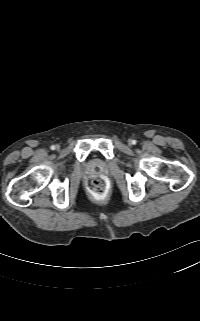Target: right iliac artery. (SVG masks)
Listing matches in <instances>:
<instances>
[{
	"label": "right iliac artery",
	"instance_id": "1",
	"mask_svg": "<svg viewBox=\"0 0 200 321\" xmlns=\"http://www.w3.org/2000/svg\"><path fill=\"white\" fill-rule=\"evenodd\" d=\"M50 148H51V150H55L56 147L54 145H52Z\"/></svg>",
	"mask_w": 200,
	"mask_h": 321
}]
</instances>
